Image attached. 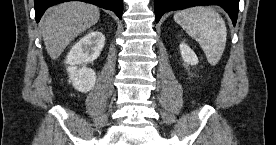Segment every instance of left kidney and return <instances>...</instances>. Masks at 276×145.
Wrapping results in <instances>:
<instances>
[{"label":"left kidney","instance_id":"obj_1","mask_svg":"<svg viewBox=\"0 0 276 145\" xmlns=\"http://www.w3.org/2000/svg\"><path fill=\"white\" fill-rule=\"evenodd\" d=\"M179 47L181 57L187 65H196L198 63L196 54L186 43H181Z\"/></svg>","mask_w":276,"mask_h":145}]
</instances>
